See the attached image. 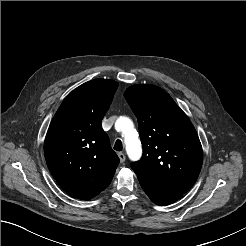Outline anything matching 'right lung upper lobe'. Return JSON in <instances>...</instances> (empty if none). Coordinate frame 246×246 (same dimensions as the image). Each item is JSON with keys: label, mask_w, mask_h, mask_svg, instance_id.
<instances>
[{"label": "right lung upper lobe", "mask_w": 246, "mask_h": 246, "mask_svg": "<svg viewBox=\"0 0 246 246\" xmlns=\"http://www.w3.org/2000/svg\"><path fill=\"white\" fill-rule=\"evenodd\" d=\"M118 83L95 79L73 90L49 126L44 154L47 166L67 193L89 200L111 182L119 158L101 121Z\"/></svg>", "instance_id": "obj_1"}]
</instances>
